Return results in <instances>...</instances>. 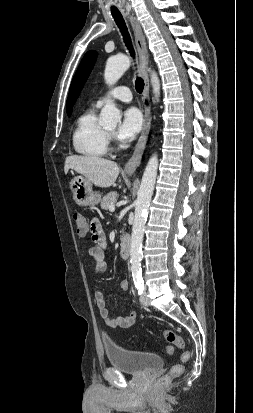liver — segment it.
I'll return each instance as SVG.
<instances>
[{
	"label": "liver",
	"instance_id": "6515ba94",
	"mask_svg": "<svg viewBox=\"0 0 253 413\" xmlns=\"http://www.w3.org/2000/svg\"><path fill=\"white\" fill-rule=\"evenodd\" d=\"M69 169L82 174L92 184L102 188L114 184L120 172L116 162L95 156H69L65 160L66 174Z\"/></svg>",
	"mask_w": 253,
	"mask_h": 413
}]
</instances>
